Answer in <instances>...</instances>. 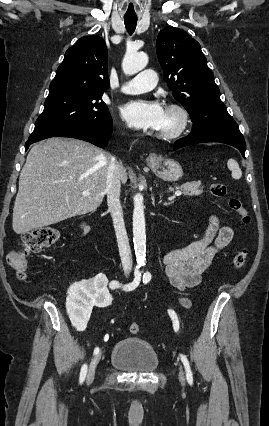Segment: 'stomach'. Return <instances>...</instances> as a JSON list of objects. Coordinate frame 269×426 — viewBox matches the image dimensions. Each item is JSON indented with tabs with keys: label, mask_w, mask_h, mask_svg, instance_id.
Listing matches in <instances>:
<instances>
[{
	"label": "stomach",
	"mask_w": 269,
	"mask_h": 426,
	"mask_svg": "<svg viewBox=\"0 0 269 426\" xmlns=\"http://www.w3.org/2000/svg\"><path fill=\"white\" fill-rule=\"evenodd\" d=\"M152 171L165 181H177L183 176V170L179 162L165 158L149 164Z\"/></svg>",
	"instance_id": "1"
}]
</instances>
